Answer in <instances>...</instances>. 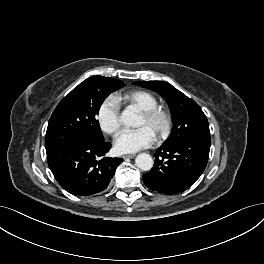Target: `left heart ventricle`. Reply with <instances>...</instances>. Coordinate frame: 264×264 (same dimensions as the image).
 <instances>
[{
  "label": "left heart ventricle",
  "mask_w": 264,
  "mask_h": 264,
  "mask_svg": "<svg viewBox=\"0 0 264 264\" xmlns=\"http://www.w3.org/2000/svg\"><path fill=\"white\" fill-rule=\"evenodd\" d=\"M138 127H147L154 134H156V132L158 130V125L156 123H151V122L147 121L142 115L139 118Z\"/></svg>",
  "instance_id": "obj_1"
}]
</instances>
